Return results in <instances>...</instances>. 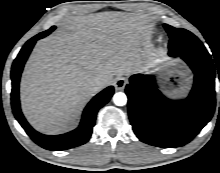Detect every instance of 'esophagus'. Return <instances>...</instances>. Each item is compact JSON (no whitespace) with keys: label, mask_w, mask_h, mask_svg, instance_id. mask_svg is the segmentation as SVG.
<instances>
[{"label":"esophagus","mask_w":220,"mask_h":173,"mask_svg":"<svg viewBox=\"0 0 220 173\" xmlns=\"http://www.w3.org/2000/svg\"><path fill=\"white\" fill-rule=\"evenodd\" d=\"M126 84H127V79L126 78H118L114 83L115 90L116 91H123Z\"/></svg>","instance_id":"esophagus-1"}]
</instances>
